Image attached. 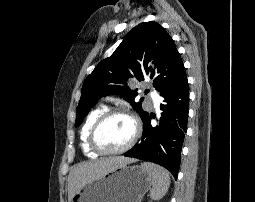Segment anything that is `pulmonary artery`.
Segmentation results:
<instances>
[{"label": "pulmonary artery", "instance_id": "e3ab8cb5", "mask_svg": "<svg viewBox=\"0 0 255 202\" xmlns=\"http://www.w3.org/2000/svg\"><path fill=\"white\" fill-rule=\"evenodd\" d=\"M159 105V100L157 98H154L153 100V106L157 107Z\"/></svg>", "mask_w": 255, "mask_h": 202}]
</instances>
